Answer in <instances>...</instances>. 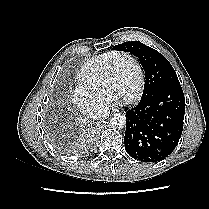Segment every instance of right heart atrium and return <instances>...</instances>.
Instances as JSON below:
<instances>
[{"label":"right heart atrium","mask_w":209,"mask_h":209,"mask_svg":"<svg viewBox=\"0 0 209 209\" xmlns=\"http://www.w3.org/2000/svg\"><path fill=\"white\" fill-rule=\"evenodd\" d=\"M71 100L83 114L88 116H99L106 108V101L102 95L79 86L71 91Z\"/></svg>","instance_id":"d8ad5b80"}]
</instances>
